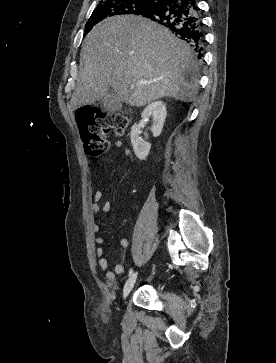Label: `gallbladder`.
Here are the masks:
<instances>
[{
	"label": "gallbladder",
	"mask_w": 276,
	"mask_h": 363,
	"mask_svg": "<svg viewBox=\"0 0 276 363\" xmlns=\"http://www.w3.org/2000/svg\"><path fill=\"white\" fill-rule=\"evenodd\" d=\"M99 103L109 112H117L122 108L121 101L116 97L112 90H109Z\"/></svg>",
	"instance_id": "bac80fb5"
}]
</instances>
